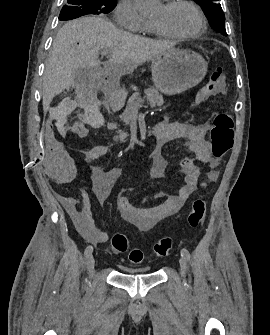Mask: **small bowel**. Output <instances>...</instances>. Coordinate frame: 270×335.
<instances>
[{
	"instance_id": "small-bowel-1",
	"label": "small bowel",
	"mask_w": 270,
	"mask_h": 335,
	"mask_svg": "<svg viewBox=\"0 0 270 335\" xmlns=\"http://www.w3.org/2000/svg\"><path fill=\"white\" fill-rule=\"evenodd\" d=\"M209 129L207 122L193 125L181 122L161 120L155 126L156 145L152 153L153 168L151 177L163 178L168 160L162 153L163 147L174 140L185 139L189 150L201 163L207 164L211 169L217 168V162L211 157L209 144L205 135ZM65 134L71 133L70 127L64 128ZM45 134H63L62 121H47ZM56 138L48 136L46 139L48 158H40V165H46V178H59L61 182H69L76 178L75 169H79V162L68 158V151L62 145L56 144ZM106 145H96L87 150L84 159L87 162L95 161L108 153ZM178 168L184 177V184L178 194L168 195L163 203L153 206H135L126 197L128 189L122 190L116 199L118 210L123 220L135 226L141 232L149 231L153 226L164 219L176 214L187 202L190 195L197 189L200 168L192 158H183L178 162ZM122 175V169L114 166L108 170L98 167L90 169L93 182V192L96 200L103 205L109 197L113 185ZM63 203L73 219L79 232L90 242L95 244L105 243L109 239L108 233L100 230L94 222L91 210V200L87 191L79 189L77 197H64Z\"/></svg>"
}]
</instances>
